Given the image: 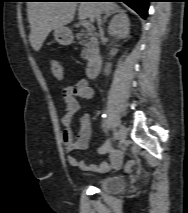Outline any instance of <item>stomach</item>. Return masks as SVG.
Returning <instances> with one entry per match:
<instances>
[{
	"label": "stomach",
	"mask_w": 188,
	"mask_h": 213,
	"mask_svg": "<svg viewBox=\"0 0 188 213\" xmlns=\"http://www.w3.org/2000/svg\"><path fill=\"white\" fill-rule=\"evenodd\" d=\"M54 38L60 45H70L73 42V35L68 27L54 29Z\"/></svg>",
	"instance_id": "1"
}]
</instances>
